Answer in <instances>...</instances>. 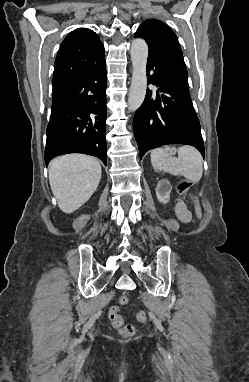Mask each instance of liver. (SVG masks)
<instances>
[{
  "mask_svg": "<svg viewBox=\"0 0 249 382\" xmlns=\"http://www.w3.org/2000/svg\"><path fill=\"white\" fill-rule=\"evenodd\" d=\"M101 179V165L93 157L68 154L49 163V183L58 207L72 213L86 203Z\"/></svg>",
  "mask_w": 249,
  "mask_h": 382,
  "instance_id": "obj_1",
  "label": "liver"
}]
</instances>
